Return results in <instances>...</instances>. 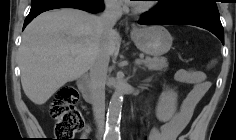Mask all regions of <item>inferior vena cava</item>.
Instances as JSON below:
<instances>
[{
  "label": "inferior vena cava",
  "instance_id": "obj_1",
  "mask_svg": "<svg viewBox=\"0 0 236 140\" xmlns=\"http://www.w3.org/2000/svg\"><path fill=\"white\" fill-rule=\"evenodd\" d=\"M122 16V8L117 0H106L105 9L99 17L103 36L107 39L114 32L113 27ZM110 55L107 49L101 50L95 57L90 69L92 107L99 133H103L105 124V83Z\"/></svg>",
  "mask_w": 236,
  "mask_h": 140
}]
</instances>
